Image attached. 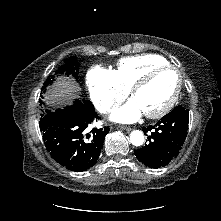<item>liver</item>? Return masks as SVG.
<instances>
[{
    "label": "liver",
    "instance_id": "6515ba94",
    "mask_svg": "<svg viewBox=\"0 0 221 221\" xmlns=\"http://www.w3.org/2000/svg\"><path fill=\"white\" fill-rule=\"evenodd\" d=\"M78 87L71 81L60 80L56 83L52 93L47 96V99L52 103L68 101L76 97Z\"/></svg>",
    "mask_w": 221,
    "mask_h": 221
}]
</instances>
